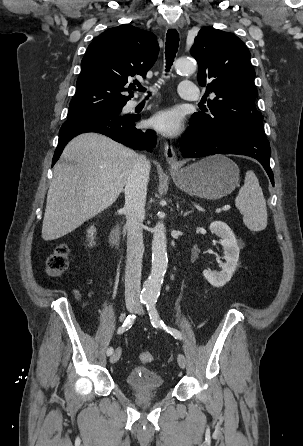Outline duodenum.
Listing matches in <instances>:
<instances>
[{
    "label": "duodenum",
    "mask_w": 303,
    "mask_h": 446,
    "mask_svg": "<svg viewBox=\"0 0 303 446\" xmlns=\"http://www.w3.org/2000/svg\"><path fill=\"white\" fill-rule=\"evenodd\" d=\"M109 242H110V245L112 247H116L118 245V242H119V228L118 227L115 228L111 232V235H110V238H109Z\"/></svg>",
    "instance_id": "410a0bca"
}]
</instances>
